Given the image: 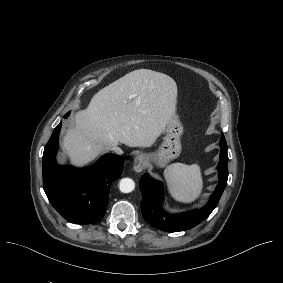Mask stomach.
Listing matches in <instances>:
<instances>
[{
  "label": "stomach",
  "mask_w": 283,
  "mask_h": 283,
  "mask_svg": "<svg viewBox=\"0 0 283 283\" xmlns=\"http://www.w3.org/2000/svg\"><path fill=\"white\" fill-rule=\"evenodd\" d=\"M182 132L183 126L177 117L172 118L166 125L164 141L158 151L147 156H140L141 159L137 162L147 159L153 161L159 167H165L170 160L177 158L181 153L179 136Z\"/></svg>",
  "instance_id": "0dacf381"
}]
</instances>
